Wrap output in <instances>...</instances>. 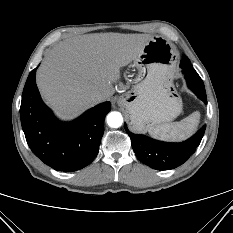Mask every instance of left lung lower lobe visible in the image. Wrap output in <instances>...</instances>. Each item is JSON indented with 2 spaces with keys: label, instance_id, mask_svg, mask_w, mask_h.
Here are the masks:
<instances>
[{
  "label": "left lung lower lobe",
  "instance_id": "left-lung-lower-lobe-1",
  "mask_svg": "<svg viewBox=\"0 0 233 233\" xmlns=\"http://www.w3.org/2000/svg\"><path fill=\"white\" fill-rule=\"evenodd\" d=\"M180 68L183 69L188 87L207 104L204 84L200 82L199 75L184 55L180 62ZM125 129L130 136L135 155L141 162L157 170H169L183 164L195 152L202 140L206 126L182 143H166L131 133L126 124Z\"/></svg>",
  "mask_w": 233,
  "mask_h": 233
}]
</instances>
